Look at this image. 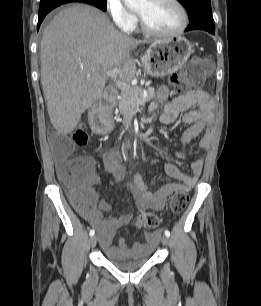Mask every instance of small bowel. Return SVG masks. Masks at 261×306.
<instances>
[{"instance_id":"1","label":"small bowel","mask_w":261,"mask_h":306,"mask_svg":"<svg viewBox=\"0 0 261 306\" xmlns=\"http://www.w3.org/2000/svg\"><path fill=\"white\" fill-rule=\"evenodd\" d=\"M169 97V89L165 86L160 87L157 93V100L150 107V111L156 110L160 105L165 104L164 110L160 116V122L163 125H169L182 115V120L187 124L181 143L186 144L191 140L202 135L199 148L202 152H207L212 142L214 132L213 101L204 92L197 91L186 96H178L171 102L166 103ZM193 106H198V111H191ZM179 159H186V156L178 151L176 153ZM89 168L87 188L89 195L81 206L83 217L96 229L99 242L105 252L117 254L122 249H127L123 245L113 246L116 230L126 225L131 215L124 214L119 216H105V213L111 210V205L106 200H97V195L93 187L100 182V178L95 171V161L91 157H82ZM121 151L118 148H111L103 154V164L106 171L116 182L124 179L126 169L121 162ZM66 162L57 158L56 165L59 169ZM204 157L200 156L191 162V173L185 174L175 164L168 163L165 166L166 174L178 182L158 183L152 190L141 175L136 172L133 181L126 187L132 192L137 207L140 210H163L166 206L167 198L177 191L189 190L198 181L203 170ZM160 233L151 232L146 235V244L133 245L132 249L139 251L142 249H151L159 241Z\"/></svg>"}]
</instances>
